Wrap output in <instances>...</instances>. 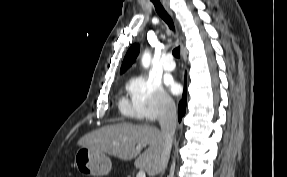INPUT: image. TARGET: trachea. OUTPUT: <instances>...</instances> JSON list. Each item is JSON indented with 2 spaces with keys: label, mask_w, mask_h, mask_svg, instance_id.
<instances>
[{
  "label": "trachea",
  "mask_w": 287,
  "mask_h": 177,
  "mask_svg": "<svg viewBox=\"0 0 287 177\" xmlns=\"http://www.w3.org/2000/svg\"><path fill=\"white\" fill-rule=\"evenodd\" d=\"M151 2L154 4L157 13L165 21V23L169 26V28L171 30H174V23H173L170 15L166 12L164 7L159 2V0H151ZM172 53L176 58H180V47L175 48Z\"/></svg>",
  "instance_id": "trachea-1"
}]
</instances>
